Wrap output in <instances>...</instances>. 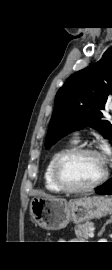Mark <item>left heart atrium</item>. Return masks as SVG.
<instances>
[{
    "label": "left heart atrium",
    "mask_w": 112,
    "mask_h": 270,
    "mask_svg": "<svg viewBox=\"0 0 112 270\" xmlns=\"http://www.w3.org/2000/svg\"><path fill=\"white\" fill-rule=\"evenodd\" d=\"M108 155H109V149L108 147L104 146L103 153L102 155H100L104 163L106 162Z\"/></svg>",
    "instance_id": "39dd6f15"
}]
</instances>
